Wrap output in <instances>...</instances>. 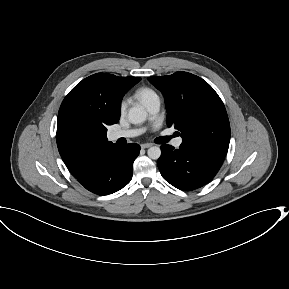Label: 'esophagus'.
Listing matches in <instances>:
<instances>
[{
    "label": "esophagus",
    "instance_id": "esophagus-1",
    "mask_svg": "<svg viewBox=\"0 0 289 289\" xmlns=\"http://www.w3.org/2000/svg\"><path fill=\"white\" fill-rule=\"evenodd\" d=\"M151 146H152L151 144L145 143V144H142V145H141V148L146 149V148H149V147H151Z\"/></svg>",
    "mask_w": 289,
    "mask_h": 289
}]
</instances>
